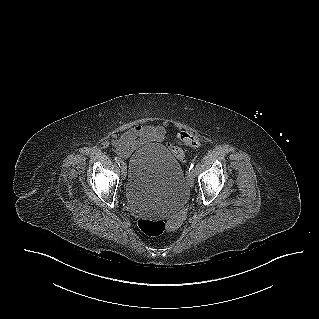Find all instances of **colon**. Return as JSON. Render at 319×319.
I'll use <instances>...</instances> for the list:
<instances>
[{
  "label": "colon",
  "instance_id": "obj_1",
  "mask_svg": "<svg viewBox=\"0 0 319 319\" xmlns=\"http://www.w3.org/2000/svg\"><path fill=\"white\" fill-rule=\"evenodd\" d=\"M202 143L203 139L199 130L182 128L177 132L176 139L169 148L179 161L184 162L185 151L183 147H199ZM137 225L139 230L147 236L161 235L166 229V224L163 221L150 218H140Z\"/></svg>",
  "mask_w": 319,
  "mask_h": 319
}]
</instances>
